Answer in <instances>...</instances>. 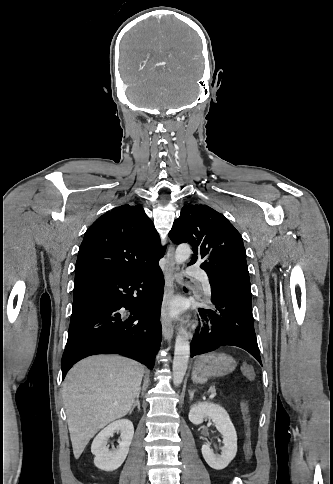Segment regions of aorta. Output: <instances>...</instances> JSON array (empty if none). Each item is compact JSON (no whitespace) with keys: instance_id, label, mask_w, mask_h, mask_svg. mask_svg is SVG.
<instances>
[{"instance_id":"762f6f07","label":"aorta","mask_w":333,"mask_h":484,"mask_svg":"<svg viewBox=\"0 0 333 484\" xmlns=\"http://www.w3.org/2000/svg\"><path fill=\"white\" fill-rule=\"evenodd\" d=\"M191 255V248L188 244H180L175 251L176 264H182ZM190 356L189 341L179 334L175 341L174 359H173V382L180 385L186 374Z\"/></svg>"}]
</instances>
